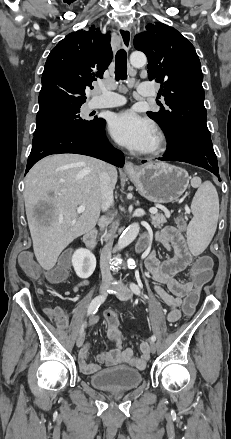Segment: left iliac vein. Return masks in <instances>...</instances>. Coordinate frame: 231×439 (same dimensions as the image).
<instances>
[{
    "mask_svg": "<svg viewBox=\"0 0 231 439\" xmlns=\"http://www.w3.org/2000/svg\"><path fill=\"white\" fill-rule=\"evenodd\" d=\"M132 295H133L132 291L127 286L120 285V289H119V291L117 293V297L120 300L128 301V300H130L132 298ZM150 351H151V353H155L156 352V345L152 341L150 342Z\"/></svg>",
    "mask_w": 231,
    "mask_h": 439,
    "instance_id": "left-iliac-vein-1",
    "label": "left iliac vein"
}]
</instances>
